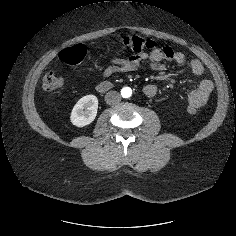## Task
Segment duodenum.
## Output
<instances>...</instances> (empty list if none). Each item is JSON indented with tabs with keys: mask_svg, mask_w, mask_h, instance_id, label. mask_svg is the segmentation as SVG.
Returning <instances> with one entry per match:
<instances>
[{
	"mask_svg": "<svg viewBox=\"0 0 236 236\" xmlns=\"http://www.w3.org/2000/svg\"><path fill=\"white\" fill-rule=\"evenodd\" d=\"M113 87V83L110 81H103L97 85V90L100 92H107Z\"/></svg>",
	"mask_w": 236,
	"mask_h": 236,
	"instance_id": "obj_1",
	"label": "duodenum"
}]
</instances>
